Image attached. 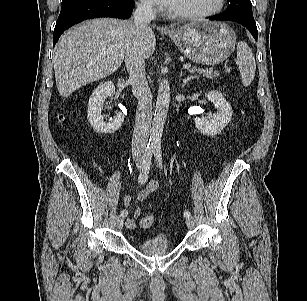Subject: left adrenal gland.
I'll list each match as a JSON object with an SVG mask.
<instances>
[{"mask_svg":"<svg viewBox=\"0 0 307 301\" xmlns=\"http://www.w3.org/2000/svg\"><path fill=\"white\" fill-rule=\"evenodd\" d=\"M180 76H182V73L180 74ZM194 78H196V76H188L187 78H185L184 80H183V83H182V87H184L185 85H187V83L189 82V81H191V79H194Z\"/></svg>","mask_w":307,"mask_h":301,"instance_id":"a2214340","label":"left adrenal gland"}]
</instances>
